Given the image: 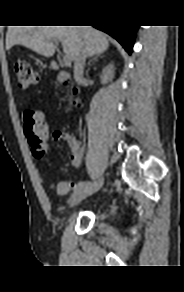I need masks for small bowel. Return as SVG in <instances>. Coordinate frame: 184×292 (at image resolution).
Masks as SVG:
<instances>
[{
  "instance_id": "c3829d8e",
  "label": "small bowel",
  "mask_w": 184,
  "mask_h": 292,
  "mask_svg": "<svg viewBox=\"0 0 184 292\" xmlns=\"http://www.w3.org/2000/svg\"><path fill=\"white\" fill-rule=\"evenodd\" d=\"M53 138L56 141L64 140L67 143L70 149L69 166L75 169L80 168L82 165L83 154L81 145L77 141V139L72 134L59 130L53 132ZM57 186H58L57 193L61 195L66 194L71 188V184L67 181L59 182Z\"/></svg>"
}]
</instances>
